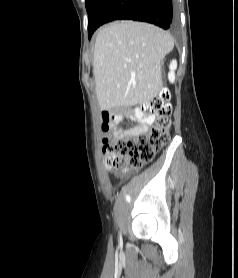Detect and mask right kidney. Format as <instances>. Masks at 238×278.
<instances>
[{
	"label": "right kidney",
	"instance_id": "1",
	"mask_svg": "<svg viewBox=\"0 0 238 278\" xmlns=\"http://www.w3.org/2000/svg\"><path fill=\"white\" fill-rule=\"evenodd\" d=\"M170 72L168 74V78H169V81L170 82H174L175 80V70L177 68V62L176 60H173L171 63H170Z\"/></svg>",
	"mask_w": 238,
	"mask_h": 278
}]
</instances>
